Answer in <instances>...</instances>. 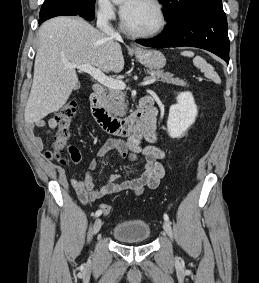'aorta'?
I'll return each instance as SVG.
<instances>
[{"mask_svg": "<svg viewBox=\"0 0 259 283\" xmlns=\"http://www.w3.org/2000/svg\"><path fill=\"white\" fill-rule=\"evenodd\" d=\"M114 2H117V1H119V0H113Z\"/></svg>", "mask_w": 259, "mask_h": 283, "instance_id": "1", "label": "aorta"}]
</instances>
